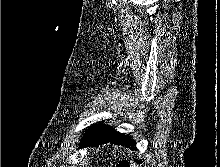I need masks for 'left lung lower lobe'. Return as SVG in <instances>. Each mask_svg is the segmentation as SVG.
Returning a JSON list of instances; mask_svg holds the SVG:
<instances>
[{
    "mask_svg": "<svg viewBox=\"0 0 220 167\" xmlns=\"http://www.w3.org/2000/svg\"><path fill=\"white\" fill-rule=\"evenodd\" d=\"M112 143L136 149V143L128 136L115 131L110 126L95 125L88 129L80 141V148L86 146H98L100 144Z\"/></svg>",
    "mask_w": 220,
    "mask_h": 167,
    "instance_id": "0a47b994",
    "label": "left lung lower lobe"
}]
</instances>
